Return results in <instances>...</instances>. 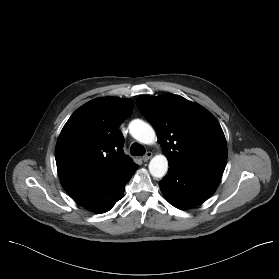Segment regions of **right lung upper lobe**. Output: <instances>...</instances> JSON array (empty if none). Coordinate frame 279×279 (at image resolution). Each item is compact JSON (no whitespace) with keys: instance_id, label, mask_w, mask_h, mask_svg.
I'll return each instance as SVG.
<instances>
[{"instance_id":"cb5924a9","label":"right lung upper lobe","mask_w":279,"mask_h":279,"mask_svg":"<svg viewBox=\"0 0 279 279\" xmlns=\"http://www.w3.org/2000/svg\"><path fill=\"white\" fill-rule=\"evenodd\" d=\"M131 99L100 97L78 108L63 127L55 149L57 171L74 199L97 193L137 169L123 151L118 130L133 112Z\"/></svg>"}]
</instances>
